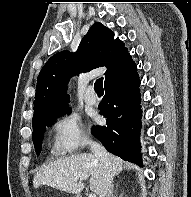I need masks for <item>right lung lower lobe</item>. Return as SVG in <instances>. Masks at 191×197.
Listing matches in <instances>:
<instances>
[{"label": "right lung lower lobe", "mask_w": 191, "mask_h": 197, "mask_svg": "<svg viewBox=\"0 0 191 197\" xmlns=\"http://www.w3.org/2000/svg\"><path fill=\"white\" fill-rule=\"evenodd\" d=\"M135 66L124 75L105 84V96L99 104L106 126H93V135L112 154L142 166L140 154L141 96Z\"/></svg>", "instance_id": "98d812e1"}]
</instances>
